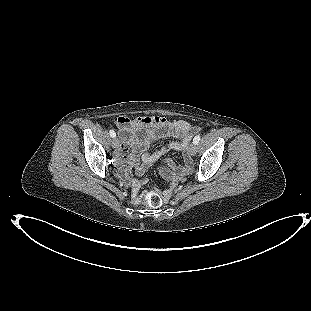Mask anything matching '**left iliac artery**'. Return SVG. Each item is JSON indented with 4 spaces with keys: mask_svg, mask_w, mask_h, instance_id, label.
Returning a JSON list of instances; mask_svg holds the SVG:
<instances>
[{
    "mask_svg": "<svg viewBox=\"0 0 311 311\" xmlns=\"http://www.w3.org/2000/svg\"><path fill=\"white\" fill-rule=\"evenodd\" d=\"M200 141V135L195 136V138L193 139V143L198 144Z\"/></svg>",
    "mask_w": 311,
    "mask_h": 311,
    "instance_id": "1",
    "label": "left iliac artery"
}]
</instances>
